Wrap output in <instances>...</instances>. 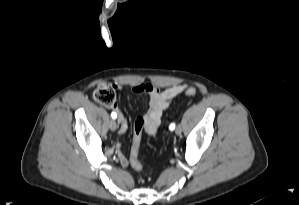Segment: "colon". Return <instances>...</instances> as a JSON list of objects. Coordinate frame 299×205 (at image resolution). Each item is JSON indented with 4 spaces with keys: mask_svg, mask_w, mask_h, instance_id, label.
Wrapping results in <instances>:
<instances>
[{
    "mask_svg": "<svg viewBox=\"0 0 299 205\" xmlns=\"http://www.w3.org/2000/svg\"><path fill=\"white\" fill-rule=\"evenodd\" d=\"M185 94L193 97L196 95V90L192 87H188L185 89ZM93 98L96 102L108 108H114L117 104L115 87L106 81H101L94 85ZM144 125V117H137L134 123V138L130 153V165L138 173L143 170V165L139 160V145Z\"/></svg>",
    "mask_w": 299,
    "mask_h": 205,
    "instance_id": "obj_1",
    "label": "colon"
}]
</instances>
